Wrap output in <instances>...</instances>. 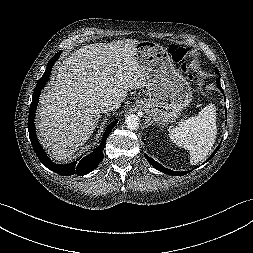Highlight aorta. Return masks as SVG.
<instances>
[{
  "mask_svg": "<svg viewBox=\"0 0 253 253\" xmlns=\"http://www.w3.org/2000/svg\"><path fill=\"white\" fill-rule=\"evenodd\" d=\"M125 123L128 129H137L140 125V119L137 115H129L125 119Z\"/></svg>",
  "mask_w": 253,
  "mask_h": 253,
  "instance_id": "obj_1",
  "label": "aorta"
}]
</instances>
